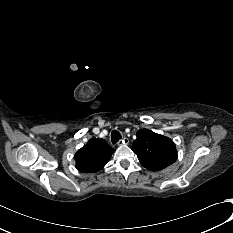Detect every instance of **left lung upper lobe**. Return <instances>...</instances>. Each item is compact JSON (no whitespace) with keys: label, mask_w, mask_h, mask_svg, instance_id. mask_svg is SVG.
Returning <instances> with one entry per match:
<instances>
[{"label":"left lung upper lobe","mask_w":233,"mask_h":233,"mask_svg":"<svg viewBox=\"0 0 233 233\" xmlns=\"http://www.w3.org/2000/svg\"><path fill=\"white\" fill-rule=\"evenodd\" d=\"M132 151L142 166L151 171H160L177 159L175 143L168 137L148 129L137 131Z\"/></svg>","instance_id":"1"}]
</instances>
